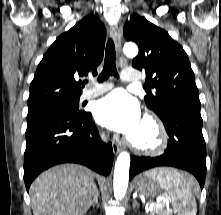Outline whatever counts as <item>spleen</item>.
Wrapping results in <instances>:
<instances>
[{"label": "spleen", "instance_id": "spleen-1", "mask_svg": "<svg viewBox=\"0 0 221 215\" xmlns=\"http://www.w3.org/2000/svg\"><path fill=\"white\" fill-rule=\"evenodd\" d=\"M157 180L169 193V200L176 208L178 215H196L197 204L192 194L196 180L191 175L176 170L163 169L157 174Z\"/></svg>", "mask_w": 221, "mask_h": 215}]
</instances>
